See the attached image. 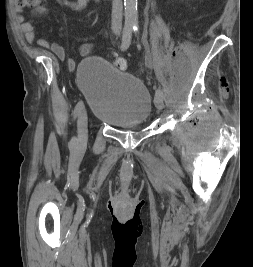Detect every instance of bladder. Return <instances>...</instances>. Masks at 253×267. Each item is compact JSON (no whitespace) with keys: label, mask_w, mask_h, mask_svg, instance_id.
Masks as SVG:
<instances>
[{"label":"bladder","mask_w":253,"mask_h":267,"mask_svg":"<svg viewBox=\"0 0 253 267\" xmlns=\"http://www.w3.org/2000/svg\"><path fill=\"white\" fill-rule=\"evenodd\" d=\"M80 88L93 116L112 126L146 122L152 111V97L137 77L124 73L106 60L88 57L80 66Z\"/></svg>","instance_id":"1"}]
</instances>
